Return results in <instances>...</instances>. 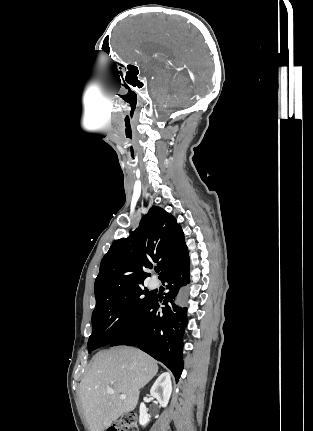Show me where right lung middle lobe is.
I'll list each match as a JSON object with an SVG mask.
<instances>
[{"label":"right lung middle lobe","mask_w":313,"mask_h":431,"mask_svg":"<svg viewBox=\"0 0 313 431\" xmlns=\"http://www.w3.org/2000/svg\"><path fill=\"white\" fill-rule=\"evenodd\" d=\"M148 290L142 286L109 296L99 302L92 313L93 332L88 340V351L110 344L125 333L151 302Z\"/></svg>","instance_id":"obj_1"}]
</instances>
